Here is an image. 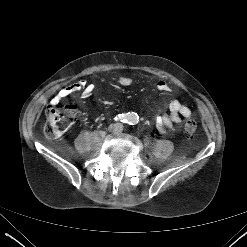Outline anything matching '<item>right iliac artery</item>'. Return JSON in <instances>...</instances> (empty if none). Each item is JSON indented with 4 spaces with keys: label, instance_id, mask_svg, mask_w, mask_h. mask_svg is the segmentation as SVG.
Segmentation results:
<instances>
[{
    "label": "right iliac artery",
    "instance_id": "1",
    "mask_svg": "<svg viewBox=\"0 0 247 247\" xmlns=\"http://www.w3.org/2000/svg\"><path fill=\"white\" fill-rule=\"evenodd\" d=\"M115 119L120 122H125V123L128 121V117L125 114H120L118 115V118L116 117Z\"/></svg>",
    "mask_w": 247,
    "mask_h": 247
}]
</instances>
